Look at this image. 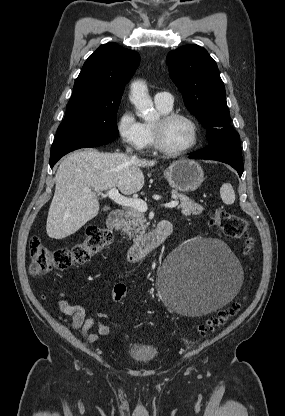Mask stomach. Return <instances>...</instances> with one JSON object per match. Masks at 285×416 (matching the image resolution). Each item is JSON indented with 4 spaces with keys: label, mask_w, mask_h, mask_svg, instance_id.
I'll return each instance as SVG.
<instances>
[{
    "label": "stomach",
    "mask_w": 285,
    "mask_h": 416,
    "mask_svg": "<svg viewBox=\"0 0 285 416\" xmlns=\"http://www.w3.org/2000/svg\"><path fill=\"white\" fill-rule=\"evenodd\" d=\"M171 188L178 192H195L201 186L204 178L200 164L194 160H177L164 172Z\"/></svg>",
    "instance_id": "1"
}]
</instances>
